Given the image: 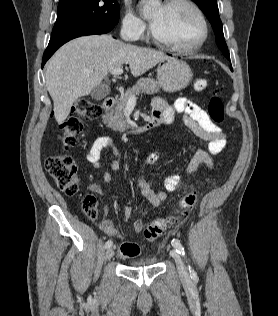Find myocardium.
<instances>
[{
    "mask_svg": "<svg viewBox=\"0 0 278 316\" xmlns=\"http://www.w3.org/2000/svg\"><path fill=\"white\" fill-rule=\"evenodd\" d=\"M176 4H184V5L189 6L197 15V17L200 21V24H201V29H202L201 36H200L199 40L194 45L188 46V47L175 45L171 42H168V41L160 38L156 34V32L154 31L152 24L150 26V38L153 41V43H155L158 46L164 47L166 49H169V50H172L174 52L181 53V54H191V53H194V52L198 51L199 49H201V47L207 41L208 36H209L208 22H207V19L205 17L204 12L202 11V9L193 0H166L165 1V5H167V6H172V5H176Z\"/></svg>",
    "mask_w": 278,
    "mask_h": 316,
    "instance_id": "f54148a6",
    "label": "myocardium"
}]
</instances>
